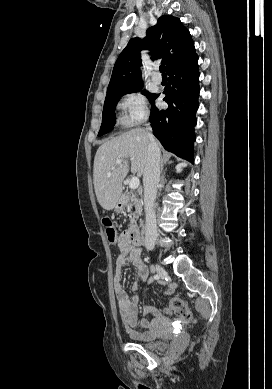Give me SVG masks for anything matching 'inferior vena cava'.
Returning <instances> with one entry per match:
<instances>
[{
    "label": "inferior vena cava",
    "instance_id": "1",
    "mask_svg": "<svg viewBox=\"0 0 272 389\" xmlns=\"http://www.w3.org/2000/svg\"><path fill=\"white\" fill-rule=\"evenodd\" d=\"M146 130L148 132L149 142L147 161L143 173L144 203L146 208L144 245L147 250H152L157 239V223L154 202L160 181L161 153L154 136L149 133V131H151V127H147Z\"/></svg>",
    "mask_w": 272,
    "mask_h": 389
}]
</instances>
